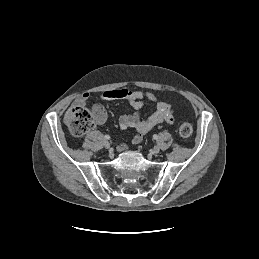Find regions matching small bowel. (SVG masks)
<instances>
[{"label":"small bowel","instance_id":"1","mask_svg":"<svg viewBox=\"0 0 259 259\" xmlns=\"http://www.w3.org/2000/svg\"><path fill=\"white\" fill-rule=\"evenodd\" d=\"M89 99V94L84 93L75 100V105H85ZM115 99H124L134 109L133 113L123 114L119 117L121 129L134 131L131 141L133 144H139L144 135L161 123L171 125L174 121L173 109L170 104L160 101L152 92L134 91L129 89H112L101 93V102ZM146 101L155 103L154 112L146 118L141 116V110ZM93 114L98 124H103L107 119V112L102 103L93 106ZM119 151L126 149V144L120 142L117 146Z\"/></svg>","mask_w":259,"mask_h":259}]
</instances>
